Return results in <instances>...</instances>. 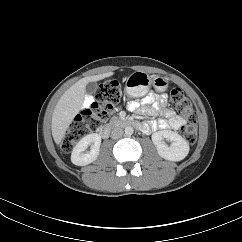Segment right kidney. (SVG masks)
<instances>
[{
  "label": "right kidney",
  "instance_id": "ca27d5eb",
  "mask_svg": "<svg viewBox=\"0 0 242 242\" xmlns=\"http://www.w3.org/2000/svg\"><path fill=\"white\" fill-rule=\"evenodd\" d=\"M90 145V151L85 152ZM100 145L101 136L99 134L92 133L84 136L72 150V163L78 166H85L92 163L99 155Z\"/></svg>",
  "mask_w": 242,
  "mask_h": 242
}]
</instances>
